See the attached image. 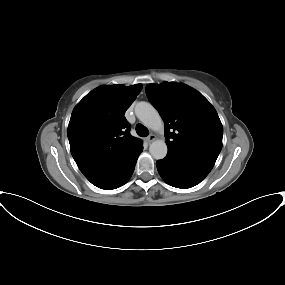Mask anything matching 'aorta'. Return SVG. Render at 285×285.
Masks as SVG:
<instances>
[{
	"mask_svg": "<svg viewBox=\"0 0 285 285\" xmlns=\"http://www.w3.org/2000/svg\"><path fill=\"white\" fill-rule=\"evenodd\" d=\"M137 118L153 131H163L164 123L158 111L148 102H139L135 107ZM167 144L164 140H155L150 144L149 152L156 160L167 155Z\"/></svg>",
	"mask_w": 285,
	"mask_h": 285,
	"instance_id": "762f6f07",
	"label": "aorta"
}]
</instances>
